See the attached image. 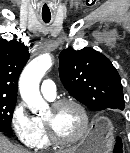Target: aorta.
<instances>
[{
    "label": "aorta",
    "mask_w": 130,
    "mask_h": 153,
    "mask_svg": "<svg viewBox=\"0 0 130 153\" xmlns=\"http://www.w3.org/2000/svg\"><path fill=\"white\" fill-rule=\"evenodd\" d=\"M51 66V56L43 54L29 62L20 76L19 90L21 97L34 114L43 112L48 107L40 94L39 83Z\"/></svg>",
    "instance_id": "aorta-1"
}]
</instances>
